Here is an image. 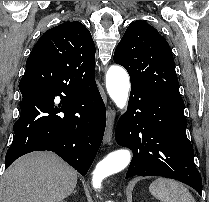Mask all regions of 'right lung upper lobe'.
<instances>
[{"mask_svg": "<svg viewBox=\"0 0 209 202\" xmlns=\"http://www.w3.org/2000/svg\"><path fill=\"white\" fill-rule=\"evenodd\" d=\"M95 45L80 22H65L47 30L33 47L26 70L46 69L65 87L82 90L95 83Z\"/></svg>", "mask_w": 209, "mask_h": 202, "instance_id": "right-lung-upper-lobe-1", "label": "right lung upper lobe"}]
</instances>
